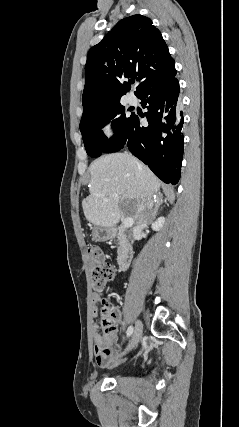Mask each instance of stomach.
Instances as JSON below:
<instances>
[{"label": "stomach", "mask_w": 239, "mask_h": 427, "mask_svg": "<svg viewBox=\"0 0 239 427\" xmlns=\"http://www.w3.org/2000/svg\"><path fill=\"white\" fill-rule=\"evenodd\" d=\"M114 236V230L108 227L94 226L92 229V239L95 242H103Z\"/></svg>", "instance_id": "0dacf381"}]
</instances>
